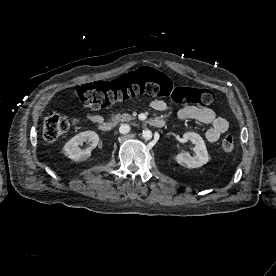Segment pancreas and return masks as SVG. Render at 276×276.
Listing matches in <instances>:
<instances>
[{"mask_svg": "<svg viewBox=\"0 0 276 276\" xmlns=\"http://www.w3.org/2000/svg\"><path fill=\"white\" fill-rule=\"evenodd\" d=\"M112 121L114 124H117L119 122H129L134 119L130 114L124 113V114H116L111 116Z\"/></svg>", "mask_w": 276, "mask_h": 276, "instance_id": "1", "label": "pancreas"}]
</instances>
